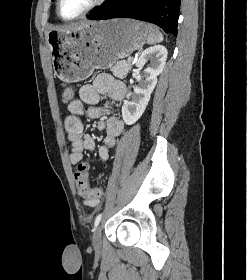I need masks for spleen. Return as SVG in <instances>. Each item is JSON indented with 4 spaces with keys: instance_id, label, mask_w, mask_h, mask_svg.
Returning <instances> with one entry per match:
<instances>
[{
    "instance_id": "1",
    "label": "spleen",
    "mask_w": 247,
    "mask_h": 280,
    "mask_svg": "<svg viewBox=\"0 0 247 280\" xmlns=\"http://www.w3.org/2000/svg\"><path fill=\"white\" fill-rule=\"evenodd\" d=\"M149 35L147 38L148 44H156L163 41V35L159 29L153 25H148Z\"/></svg>"
}]
</instances>
